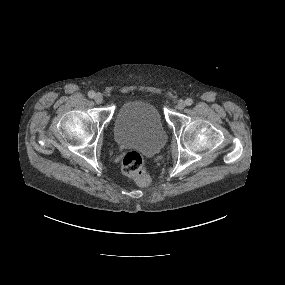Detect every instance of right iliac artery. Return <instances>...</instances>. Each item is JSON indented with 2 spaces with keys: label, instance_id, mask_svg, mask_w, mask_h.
Segmentation results:
<instances>
[{
  "label": "right iliac artery",
  "instance_id": "obj_1",
  "mask_svg": "<svg viewBox=\"0 0 285 285\" xmlns=\"http://www.w3.org/2000/svg\"><path fill=\"white\" fill-rule=\"evenodd\" d=\"M88 96H89V98H93L95 96V92L94 91H89L88 92Z\"/></svg>",
  "mask_w": 285,
  "mask_h": 285
}]
</instances>
